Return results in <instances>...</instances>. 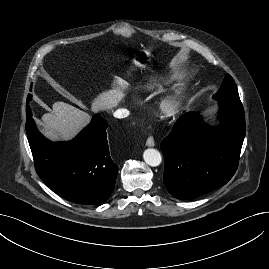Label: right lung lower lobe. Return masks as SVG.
<instances>
[{
    "label": "right lung lower lobe",
    "instance_id": "1",
    "mask_svg": "<svg viewBox=\"0 0 269 269\" xmlns=\"http://www.w3.org/2000/svg\"><path fill=\"white\" fill-rule=\"evenodd\" d=\"M107 126L95 115L74 140L51 142L37 130L27 106L26 132L35 169L51 190L79 204H99L109 198L118 166L109 154Z\"/></svg>",
    "mask_w": 269,
    "mask_h": 269
}]
</instances>
